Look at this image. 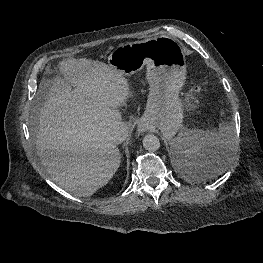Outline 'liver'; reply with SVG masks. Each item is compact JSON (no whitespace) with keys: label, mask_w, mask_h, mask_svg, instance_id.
<instances>
[{"label":"liver","mask_w":263,"mask_h":263,"mask_svg":"<svg viewBox=\"0 0 263 263\" xmlns=\"http://www.w3.org/2000/svg\"><path fill=\"white\" fill-rule=\"evenodd\" d=\"M59 70L63 77L52 81L39 111L37 154L57 185L89 197L120 166L111 135L122 123L118 107L131 97L130 86L122 72L92 59H64Z\"/></svg>","instance_id":"obj_1"}]
</instances>
